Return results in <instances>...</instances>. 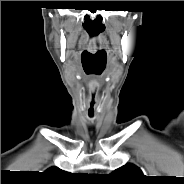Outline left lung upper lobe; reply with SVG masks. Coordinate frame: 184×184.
Here are the masks:
<instances>
[{"label":"left lung upper lobe","mask_w":184,"mask_h":184,"mask_svg":"<svg viewBox=\"0 0 184 184\" xmlns=\"http://www.w3.org/2000/svg\"><path fill=\"white\" fill-rule=\"evenodd\" d=\"M112 175L117 181L123 184H135L142 180V171L133 164H125L124 166L116 169Z\"/></svg>","instance_id":"obj_1"}]
</instances>
